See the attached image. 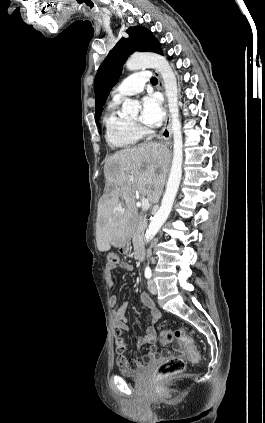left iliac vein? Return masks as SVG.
I'll use <instances>...</instances> for the list:
<instances>
[{"instance_id":"4c4485c4","label":"left iliac vein","mask_w":265,"mask_h":423,"mask_svg":"<svg viewBox=\"0 0 265 423\" xmlns=\"http://www.w3.org/2000/svg\"><path fill=\"white\" fill-rule=\"evenodd\" d=\"M148 289H149L151 294H153V295L157 294L156 284L152 280L148 281Z\"/></svg>"}]
</instances>
